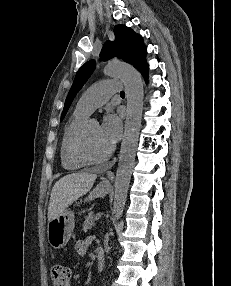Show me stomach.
Instances as JSON below:
<instances>
[{"label":"stomach","instance_id":"1","mask_svg":"<svg viewBox=\"0 0 231 286\" xmlns=\"http://www.w3.org/2000/svg\"><path fill=\"white\" fill-rule=\"evenodd\" d=\"M110 192V187L99 183L84 199V201L93 200L99 197H104ZM75 220L74 212L65 210L58 217L48 222L47 237L49 244L54 249L63 248L69 241L74 230Z\"/></svg>","mask_w":231,"mask_h":286}]
</instances>
